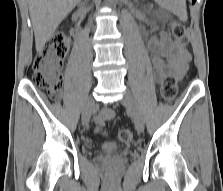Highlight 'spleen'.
Returning a JSON list of instances; mask_svg holds the SVG:
<instances>
[{
	"label": "spleen",
	"instance_id": "spleen-1",
	"mask_svg": "<svg viewBox=\"0 0 223 191\" xmlns=\"http://www.w3.org/2000/svg\"><path fill=\"white\" fill-rule=\"evenodd\" d=\"M170 9L182 20H186V2L185 0H171Z\"/></svg>",
	"mask_w": 223,
	"mask_h": 191
}]
</instances>
